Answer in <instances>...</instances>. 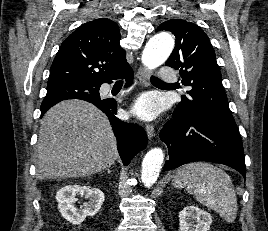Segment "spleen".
<instances>
[{
  "mask_svg": "<svg viewBox=\"0 0 268 231\" xmlns=\"http://www.w3.org/2000/svg\"><path fill=\"white\" fill-rule=\"evenodd\" d=\"M173 185L185 188L201 204L218 212L227 222L235 220L236 193L230 176L221 168L207 162L186 164L178 169Z\"/></svg>",
  "mask_w": 268,
  "mask_h": 231,
  "instance_id": "1",
  "label": "spleen"
}]
</instances>
